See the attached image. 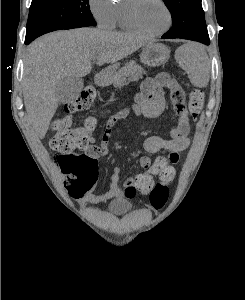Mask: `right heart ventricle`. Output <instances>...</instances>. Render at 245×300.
Instances as JSON below:
<instances>
[{"mask_svg": "<svg viewBox=\"0 0 245 300\" xmlns=\"http://www.w3.org/2000/svg\"><path fill=\"white\" fill-rule=\"evenodd\" d=\"M125 5V4H124ZM124 5L123 4H117L115 5V18H114V26L119 28L122 31L125 32H136L133 30L126 22L125 16H124Z\"/></svg>", "mask_w": 245, "mask_h": 300, "instance_id": "obj_1", "label": "right heart ventricle"}]
</instances>
